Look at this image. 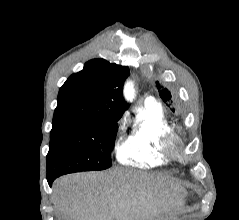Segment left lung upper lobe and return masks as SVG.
<instances>
[{"instance_id": "left-lung-upper-lobe-1", "label": "left lung upper lobe", "mask_w": 239, "mask_h": 220, "mask_svg": "<svg viewBox=\"0 0 239 220\" xmlns=\"http://www.w3.org/2000/svg\"><path fill=\"white\" fill-rule=\"evenodd\" d=\"M157 89L159 91V95L164 103L171 109L172 112H180L181 107L177 102L172 100V96L170 91L167 88H163L160 86L159 82H156Z\"/></svg>"}]
</instances>
